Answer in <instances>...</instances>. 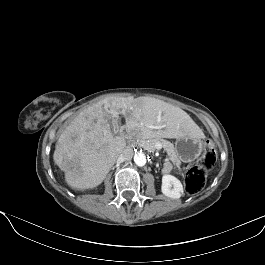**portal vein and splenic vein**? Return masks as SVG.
Listing matches in <instances>:
<instances>
[{"label": "portal vein and splenic vein", "instance_id": "18ae733b", "mask_svg": "<svg viewBox=\"0 0 265 265\" xmlns=\"http://www.w3.org/2000/svg\"><path fill=\"white\" fill-rule=\"evenodd\" d=\"M161 147H162V146H161V145H159L158 149H161Z\"/></svg>", "mask_w": 265, "mask_h": 265}]
</instances>
